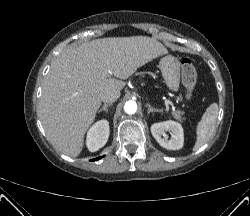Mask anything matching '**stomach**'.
<instances>
[{"label": "stomach", "mask_w": 250, "mask_h": 216, "mask_svg": "<svg viewBox=\"0 0 250 216\" xmlns=\"http://www.w3.org/2000/svg\"><path fill=\"white\" fill-rule=\"evenodd\" d=\"M159 68L168 88L175 92L178 91L180 86V63L178 59L167 55L160 60Z\"/></svg>", "instance_id": "0dacf381"}]
</instances>
